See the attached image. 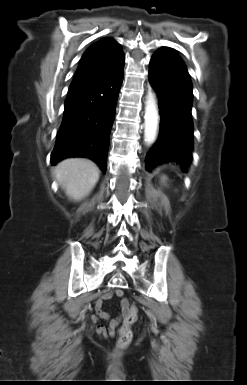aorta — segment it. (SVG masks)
Returning a JSON list of instances; mask_svg holds the SVG:
<instances>
[{
  "mask_svg": "<svg viewBox=\"0 0 247 385\" xmlns=\"http://www.w3.org/2000/svg\"><path fill=\"white\" fill-rule=\"evenodd\" d=\"M144 119V139L147 144H151L156 139L159 123L157 104L152 93L147 95Z\"/></svg>",
  "mask_w": 247,
  "mask_h": 385,
  "instance_id": "aorta-1",
  "label": "aorta"
}]
</instances>
